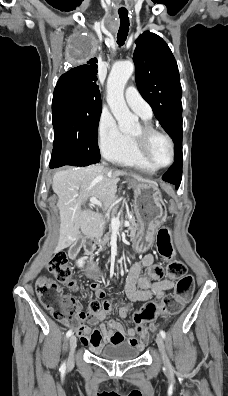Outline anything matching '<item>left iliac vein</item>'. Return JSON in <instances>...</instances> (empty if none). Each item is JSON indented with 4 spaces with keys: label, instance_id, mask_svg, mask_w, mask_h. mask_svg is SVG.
Returning <instances> with one entry per match:
<instances>
[{
    "label": "left iliac vein",
    "instance_id": "obj_1",
    "mask_svg": "<svg viewBox=\"0 0 228 396\" xmlns=\"http://www.w3.org/2000/svg\"><path fill=\"white\" fill-rule=\"evenodd\" d=\"M156 343H157L159 351H160L161 359H162L163 363L166 364L168 362V359H167L166 352H165V345H164L162 336L159 334L156 336Z\"/></svg>",
    "mask_w": 228,
    "mask_h": 396
}]
</instances>
